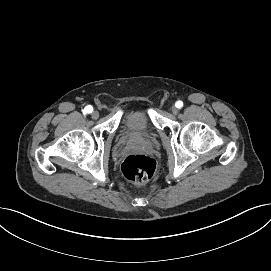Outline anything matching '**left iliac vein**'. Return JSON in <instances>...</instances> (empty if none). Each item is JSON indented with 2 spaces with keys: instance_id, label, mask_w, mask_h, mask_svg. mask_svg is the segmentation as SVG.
I'll list each match as a JSON object with an SVG mask.
<instances>
[{
  "instance_id": "1",
  "label": "left iliac vein",
  "mask_w": 271,
  "mask_h": 271,
  "mask_svg": "<svg viewBox=\"0 0 271 271\" xmlns=\"http://www.w3.org/2000/svg\"><path fill=\"white\" fill-rule=\"evenodd\" d=\"M171 111L173 114H177L179 112V109L176 106H172Z\"/></svg>"
}]
</instances>
